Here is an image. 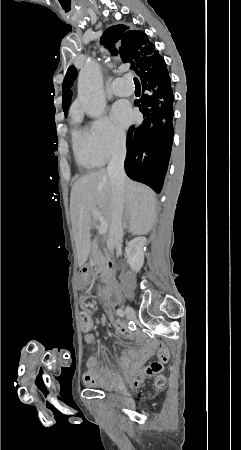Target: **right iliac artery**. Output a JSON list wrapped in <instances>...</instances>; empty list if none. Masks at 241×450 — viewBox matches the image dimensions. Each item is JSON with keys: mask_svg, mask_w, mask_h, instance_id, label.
Segmentation results:
<instances>
[{"mask_svg": "<svg viewBox=\"0 0 241 450\" xmlns=\"http://www.w3.org/2000/svg\"><path fill=\"white\" fill-rule=\"evenodd\" d=\"M116 313L120 317H124V315H125V313H124V311L122 309H117Z\"/></svg>", "mask_w": 241, "mask_h": 450, "instance_id": "82829eb1", "label": "right iliac artery"}]
</instances>
